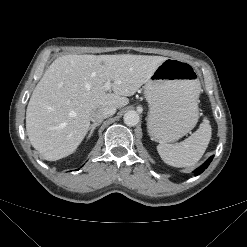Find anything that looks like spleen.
Returning <instances> with one entry per match:
<instances>
[{"instance_id":"3e777b00","label":"spleen","mask_w":247,"mask_h":247,"mask_svg":"<svg viewBox=\"0 0 247 247\" xmlns=\"http://www.w3.org/2000/svg\"><path fill=\"white\" fill-rule=\"evenodd\" d=\"M211 125L205 118L199 128L178 144H159L157 151L161 159L174 167H191L197 164L205 153L211 139Z\"/></svg>"}]
</instances>
